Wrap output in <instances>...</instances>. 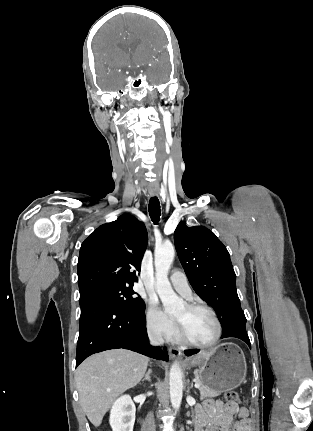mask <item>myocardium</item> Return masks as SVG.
<instances>
[{
  "mask_svg": "<svg viewBox=\"0 0 313 431\" xmlns=\"http://www.w3.org/2000/svg\"><path fill=\"white\" fill-rule=\"evenodd\" d=\"M185 306L189 311H194L197 309H203V310H206L207 312H209L210 315L212 316V318L214 319L215 324H216V335H215L214 339L208 343L201 344V343L193 342L185 335L181 323L179 321L175 320L178 340L181 343H183L187 346L193 347V348L207 349V348H211V347L215 346L219 342V340L221 339L222 333H223L222 323H221L217 313L210 306H208L204 303H200V302H188L185 304Z\"/></svg>",
  "mask_w": 313,
  "mask_h": 431,
  "instance_id": "1",
  "label": "myocardium"
}]
</instances>
